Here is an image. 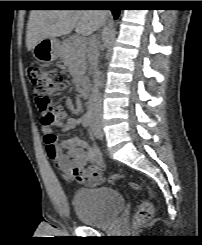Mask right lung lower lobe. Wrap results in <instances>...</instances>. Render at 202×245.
Instances as JSON below:
<instances>
[{
	"label": "right lung lower lobe",
	"mask_w": 202,
	"mask_h": 245,
	"mask_svg": "<svg viewBox=\"0 0 202 245\" xmlns=\"http://www.w3.org/2000/svg\"><path fill=\"white\" fill-rule=\"evenodd\" d=\"M103 5L106 7H111L110 10L112 11L114 18L115 19L118 18L120 10L117 8V3H115L114 1H109V2L103 3Z\"/></svg>",
	"instance_id": "98d812e1"
}]
</instances>
